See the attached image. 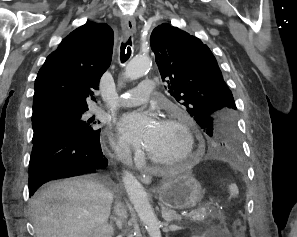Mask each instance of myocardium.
Wrapping results in <instances>:
<instances>
[{
	"label": "myocardium",
	"mask_w": 297,
	"mask_h": 237,
	"mask_svg": "<svg viewBox=\"0 0 297 237\" xmlns=\"http://www.w3.org/2000/svg\"><path fill=\"white\" fill-rule=\"evenodd\" d=\"M162 122L176 126L182 132L185 139L184 150L180 155L171 159H160L147 151L148 159L158 166L175 165L188 160L196 148V141L189 119L183 114H173L164 118Z\"/></svg>",
	"instance_id": "obj_1"
}]
</instances>
